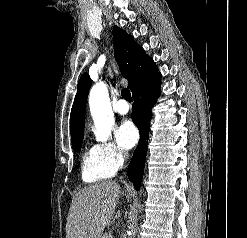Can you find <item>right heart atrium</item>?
<instances>
[{"mask_svg":"<svg viewBox=\"0 0 247 238\" xmlns=\"http://www.w3.org/2000/svg\"><path fill=\"white\" fill-rule=\"evenodd\" d=\"M106 163L114 170L122 167L126 159V153L112 142L97 145Z\"/></svg>","mask_w":247,"mask_h":238,"instance_id":"d8ad5b80","label":"right heart atrium"}]
</instances>
